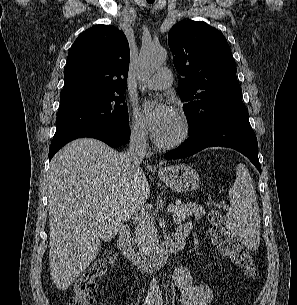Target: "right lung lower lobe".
I'll use <instances>...</instances> for the list:
<instances>
[{"label":"right lung lower lobe","mask_w":297,"mask_h":305,"mask_svg":"<svg viewBox=\"0 0 297 305\" xmlns=\"http://www.w3.org/2000/svg\"><path fill=\"white\" fill-rule=\"evenodd\" d=\"M81 137H90L99 139L111 147H118L124 145L128 142L130 137V130L126 127H115V126H99L91 127L81 131H78L68 138L63 140L56 146H50L49 148V160L55 155V153L62 148L68 142L81 138Z\"/></svg>","instance_id":"1"}]
</instances>
